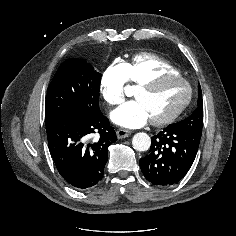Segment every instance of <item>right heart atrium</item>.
<instances>
[{"instance_id": "d8ad5b80", "label": "right heart atrium", "mask_w": 236, "mask_h": 236, "mask_svg": "<svg viewBox=\"0 0 236 236\" xmlns=\"http://www.w3.org/2000/svg\"><path fill=\"white\" fill-rule=\"evenodd\" d=\"M127 64L120 60L112 62L100 78V92L110 105H119L125 98Z\"/></svg>"}]
</instances>
